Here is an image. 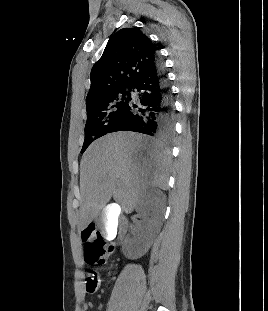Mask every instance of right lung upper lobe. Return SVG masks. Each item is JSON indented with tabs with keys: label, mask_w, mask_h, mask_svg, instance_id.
Masks as SVG:
<instances>
[{
	"label": "right lung upper lobe",
	"mask_w": 268,
	"mask_h": 311,
	"mask_svg": "<svg viewBox=\"0 0 268 311\" xmlns=\"http://www.w3.org/2000/svg\"><path fill=\"white\" fill-rule=\"evenodd\" d=\"M157 55V48L138 29L117 31L91 70L86 107L117 90L131 87L154 64Z\"/></svg>",
	"instance_id": "1"
}]
</instances>
